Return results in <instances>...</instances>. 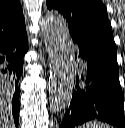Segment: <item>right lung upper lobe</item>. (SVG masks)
Listing matches in <instances>:
<instances>
[{"label":"right lung upper lobe","mask_w":125,"mask_h":128,"mask_svg":"<svg viewBox=\"0 0 125 128\" xmlns=\"http://www.w3.org/2000/svg\"><path fill=\"white\" fill-rule=\"evenodd\" d=\"M26 30L19 0H0V42Z\"/></svg>","instance_id":"cb5924a9"}]
</instances>
